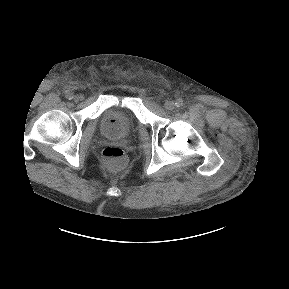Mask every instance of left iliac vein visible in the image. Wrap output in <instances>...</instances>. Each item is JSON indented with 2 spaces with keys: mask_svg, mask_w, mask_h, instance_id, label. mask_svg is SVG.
Returning a JSON list of instances; mask_svg holds the SVG:
<instances>
[{
  "mask_svg": "<svg viewBox=\"0 0 289 289\" xmlns=\"http://www.w3.org/2000/svg\"><path fill=\"white\" fill-rule=\"evenodd\" d=\"M164 107L167 110H173L175 108V104L173 101L168 100L165 102Z\"/></svg>",
  "mask_w": 289,
  "mask_h": 289,
  "instance_id": "4c4485c4",
  "label": "left iliac vein"
}]
</instances>
